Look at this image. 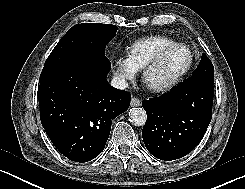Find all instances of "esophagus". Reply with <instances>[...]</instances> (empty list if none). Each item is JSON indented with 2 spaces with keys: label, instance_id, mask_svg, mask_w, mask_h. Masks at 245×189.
I'll use <instances>...</instances> for the list:
<instances>
[{
  "label": "esophagus",
  "instance_id": "obj_1",
  "mask_svg": "<svg viewBox=\"0 0 245 189\" xmlns=\"http://www.w3.org/2000/svg\"><path fill=\"white\" fill-rule=\"evenodd\" d=\"M141 105V101L136 98V97H132L131 99V106L132 107H137V106H140Z\"/></svg>",
  "mask_w": 245,
  "mask_h": 189
}]
</instances>
